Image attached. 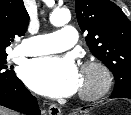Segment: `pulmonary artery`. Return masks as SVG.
<instances>
[{
  "label": "pulmonary artery",
  "instance_id": "pulmonary-artery-1",
  "mask_svg": "<svg viewBox=\"0 0 131 115\" xmlns=\"http://www.w3.org/2000/svg\"><path fill=\"white\" fill-rule=\"evenodd\" d=\"M77 31L72 26H65L61 30L26 38L15 50L17 55L38 56L64 51L73 46L77 41Z\"/></svg>",
  "mask_w": 131,
  "mask_h": 115
}]
</instances>
